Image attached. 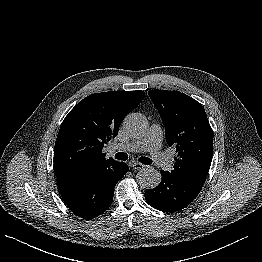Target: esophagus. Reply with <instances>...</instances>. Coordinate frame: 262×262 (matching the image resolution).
<instances>
[{
    "instance_id": "esophagus-1",
    "label": "esophagus",
    "mask_w": 262,
    "mask_h": 262,
    "mask_svg": "<svg viewBox=\"0 0 262 262\" xmlns=\"http://www.w3.org/2000/svg\"><path fill=\"white\" fill-rule=\"evenodd\" d=\"M132 167L136 170H141V169H145V168H149L148 166L142 165L140 163H132Z\"/></svg>"
}]
</instances>
